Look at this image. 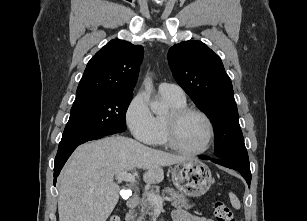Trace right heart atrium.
Here are the masks:
<instances>
[{"mask_svg": "<svg viewBox=\"0 0 307 221\" xmlns=\"http://www.w3.org/2000/svg\"><path fill=\"white\" fill-rule=\"evenodd\" d=\"M125 120L137 140L145 144H153L155 117L143 93H138L131 99L125 111Z\"/></svg>", "mask_w": 307, "mask_h": 221, "instance_id": "1", "label": "right heart atrium"}]
</instances>
